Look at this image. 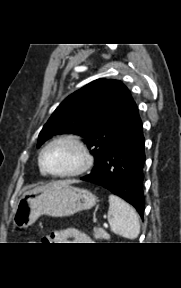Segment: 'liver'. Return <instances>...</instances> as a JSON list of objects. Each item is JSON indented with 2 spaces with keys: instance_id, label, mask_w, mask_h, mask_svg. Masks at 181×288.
I'll list each match as a JSON object with an SVG mask.
<instances>
[{
  "instance_id": "6515ba94",
  "label": "liver",
  "mask_w": 181,
  "mask_h": 288,
  "mask_svg": "<svg viewBox=\"0 0 181 288\" xmlns=\"http://www.w3.org/2000/svg\"><path fill=\"white\" fill-rule=\"evenodd\" d=\"M65 182H68V183H74L75 181H65ZM42 187H36L35 189L31 190V191H37L39 189H41Z\"/></svg>"
}]
</instances>
